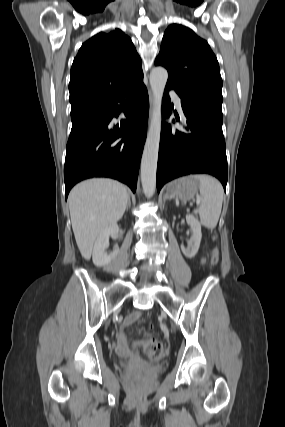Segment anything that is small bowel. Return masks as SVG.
Masks as SVG:
<instances>
[{"label": "small bowel", "mask_w": 285, "mask_h": 427, "mask_svg": "<svg viewBox=\"0 0 285 427\" xmlns=\"http://www.w3.org/2000/svg\"><path fill=\"white\" fill-rule=\"evenodd\" d=\"M203 262H205V259H203ZM139 316H140V313H139V312H135V313L131 314V315L127 318L126 323H127V324H131V323H132V322H134L136 319H138V317H139ZM121 349H122L125 353H127V354H129V355H133V351H131V350L129 349L128 344H127V342H126V341H122V342H121Z\"/></svg>", "instance_id": "1"}]
</instances>
